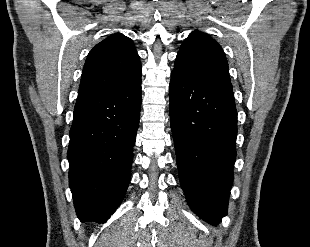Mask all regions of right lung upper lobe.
<instances>
[{
  "instance_id": "right-lung-upper-lobe-1",
  "label": "right lung upper lobe",
  "mask_w": 310,
  "mask_h": 247,
  "mask_svg": "<svg viewBox=\"0 0 310 247\" xmlns=\"http://www.w3.org/2000/svg\"><path fill=\"white\" fill-rule=\"evenodd\" d=\"M141 82V63L132 40L115 33L88 54L78 95L129 89Z\"/></svg>"
}]
</instances>
